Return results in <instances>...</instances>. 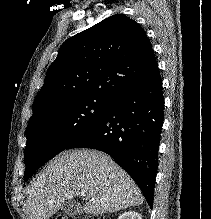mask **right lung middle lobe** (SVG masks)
<instances>
[{
    "mask_svg": "<svg viewBox=\"0 0 211 219\" xmlns=\"http://www.w3.org/2000/svg\"><path fill=\"white\" fill-rule=\"evenodd\" d=\"M111 100L87 97L69 101L52 112L29 120L24 152V180L44 163L67 149L107 111Z\"/></svg>",
    "mask_w": 211,
    "mask_h": 219,
    "instance_id": "obj_1",
    "label": "right lung middle lobe"
}]
</instances>
